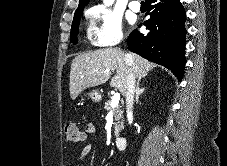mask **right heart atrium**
<instances>
[{
    "label": "right heart atrium",
    "instance_id": "right-heart-atrium-1",
    "mask_svg": "<svg viewBox=\"0 0 227 166\" xmlns=\"http://www.w3.org/2000/svg\"><path fill=\"white\" fill-rule=\"evenodd\" d=\"M94 23V37L97 45L113 47L123 40L121 18L103 5H95L89 9Z\"/></svg>",
    "mask_w": 227,
    "mask_h": 166
}]
</instances>
